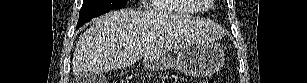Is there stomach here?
I'll return each mask as SVG.
<instances>
[{
  "label": "stomach",
  "mask_w": 307,
  "mask_h": 83,
  "mask_svg": "<svg viewBox=\"0 0 307 83\" xmlns=\"http://www.w3.org/2000/svg\"><path fill=\"white\" fill-rule=\"evenodd\" d=\"M222 46L213 41H198L184 46L173 60L167 54L147 56L144 65L151 71L176 69L185 75L204 77L217 72L224 62Z\"/></svg>",
  "instance_id": "obj_1"
}]
</instances>
